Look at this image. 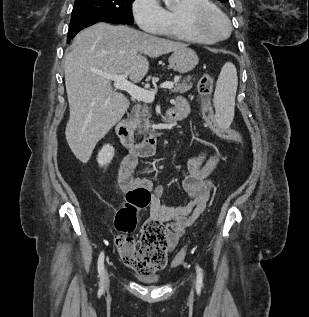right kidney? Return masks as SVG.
Wrapping results in <instances>:
<instances>
[{
	"instance_id": "1",
	"label": "right kidney",
	"mask_w": 309,
	"mask_h": 317,
	"mask_svg": "<svg viewBox=\"0 0 309 317\" xmlns=\"http://www.w3.org/2000/svg\"><path fill=\"white\" fill-rule=\"evenodd\" d=\"M114 157V147L110 144H106L99 151L97 156V162L100 167H106Z\"/></svg>"
}]
</instances>
